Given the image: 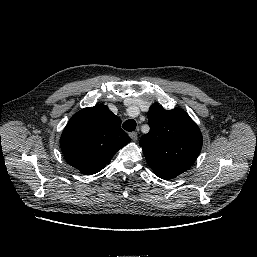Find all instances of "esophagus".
Returning <instances> with one entry per match:
<instances>
[{
    "instance_id": "34e87169",
    "label": "esophagus",
    "mask_w": 257,
    "mask_h": 257,
    "mask_svg": "<svg viewBox=\"0 0 257 257\" xmlns=\"http://www.w3.org/2000/svg\"><path fill=\"white\" fill-rule=\"evenodd\" d=\"M129 136L132 140L136 141L137 140V137H138V134L137 132H130L129 133Z\"/></svg>"
}]
</instances>
